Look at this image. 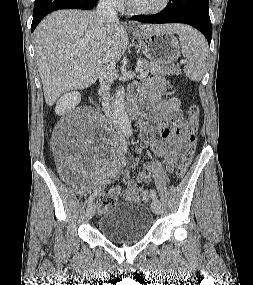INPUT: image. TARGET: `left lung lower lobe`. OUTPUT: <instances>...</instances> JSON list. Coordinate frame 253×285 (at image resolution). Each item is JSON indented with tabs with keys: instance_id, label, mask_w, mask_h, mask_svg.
I'll use <instances>...</instances> for the list:
<instances>
[{
	"instance_id": "0a47b994",
	"label": "left lung lower lobe",
	"mask_w": 253,
	"mask_h": 285,
	"mask_svg": "<svg viewBox=\"0 0 253 285\" xmlns=\"http://www.w3.org/2000/svg\"><path fill=\"white\" fill-rule=\"evenodd\" d=\"M166 9L154 15H135L134 20L144 23H186L204 34L209 45L212 25L209 16V0H170Z\"/></svg>"
}]
</instances>
